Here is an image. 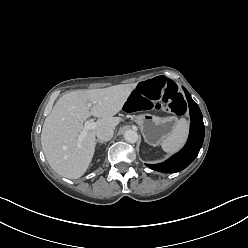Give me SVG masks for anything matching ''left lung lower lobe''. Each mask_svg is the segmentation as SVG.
Masks as SVG:
<instances>
[{
  "label": "left lung lower lobe",
  "mask_w": 248,
  "mask_h": 248,
  "mask_svg": "<svg viewBox=\"0 0 248 248\" xmlns=\"http://www.w3.org/2000/svg\"><path fill=\"white\" fill-rule=\"evenodd\" d=\"M183 89L186 94L191 117L189 138L186 145L167 161L154 165L146 164V166L155 171L175 173L183 170L192 163L202 147L204 140V123L202 113L198 105L192 100L188 91L185 88Z\"/></svg>",
  "instance_id": "0a47b994"
}]
</instances>
